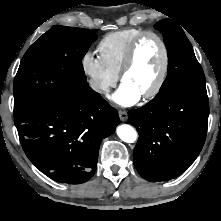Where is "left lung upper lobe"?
<instances>
[{
  "mask_svg": "<svg viewBox=\"0 0 221 221\" xmlns=\"http://www.w3.org/2000/svg\"><path fill=\"white\" fill-rule=\"evenodd\" d=\"M154 27L164 36L169 59L167 77L160 91L173 86L206 90L202 67L180 26L170 19H165L157 22Z\"/></svg>",
  "mask_w": 221,
  "mask_h": 221,
  "instance_id": "5c2ea615",
  "label": "left lung upper lobe"
}]
</instances>
